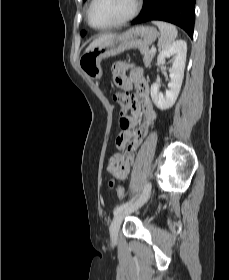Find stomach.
Wrapping results in <instances>:
<instances>
[{
    "instance_id": "1",
    "label": "stomach",
    "mask_w": 229,
    "mask_h": 280,
    "mask_svg": "<svg viewBox=\"0 0 229 280\" xmlns=\"http://www.w3.org/2000/svg\"><path fill=\"white\" fill-rule=\"evenodd\" d=\"M157 37L158 32L154 27L143 25L133 27L85 52L79 60V67L89 78L100 79L103 59L116 56L128 49L147 50Z\"/></svg>"
}]
</instances>
